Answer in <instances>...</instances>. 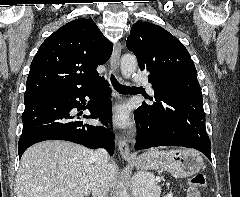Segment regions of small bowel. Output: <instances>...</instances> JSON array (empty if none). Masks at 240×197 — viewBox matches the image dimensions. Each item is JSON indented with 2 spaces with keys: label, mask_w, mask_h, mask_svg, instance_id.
I'll list each match as a JSON object with an SVG mask.
<instances>
[{
  "label": "small bowel",
  "mask_w": 240,
  "mask_h": 197,
  "mask_svg": "<svg viewBox=\"0 0 240 197\" xmlns=\"http://www.w3.org/2000/svg\"><path fill=\"white\" fill-rule=\"evenodd\" d=\"M188 197H198V192L194 188L188 190Z\"/></svg>",
  "instance_id": "small-bowel-1"
}]
</instances>
